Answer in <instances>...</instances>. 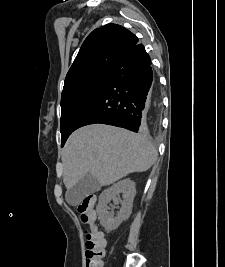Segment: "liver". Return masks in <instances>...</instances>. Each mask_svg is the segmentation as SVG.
Listing matches in <instances>:
<instances>
[{
	"label": "liver",
	"instance_id": "obj_1",
	"mask_svg": "<svg viewBox=\"0 0 225 267\" xmlns=\"http://www.w3.org/2000/svg\"><path fill=\"white\" fill-rule=\"evenodd\" d=\"M156 158L146 135L90 124L74 131L63 148L64 184L69 190L90 173L101 186L110 185L130 173L147 171Z\"/></svg>",
	"mask_w": 225,
	"mask_h": 267
}]
</instances>
